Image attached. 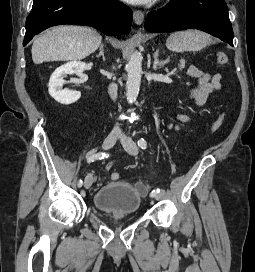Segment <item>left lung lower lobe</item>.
Wrapping results in <instances>:
<instances>
[{"mask_svg": "<svg viewBox=\"0 0 255 272\" xmlns=\"http://www.w3.org/2000/svg\"><path fill=\"white\" fill-rule=\"evenodd\" d=\"M145 29L154 33L198 29L233 46V29L224 0H170L164 8L148 13Z\"/></svg>", "mask_w": 255, "mask_h": 272, "instance_id": "left-lung-lower-lobe-1", "label": "left lung lower lobe"}]
</instances>
